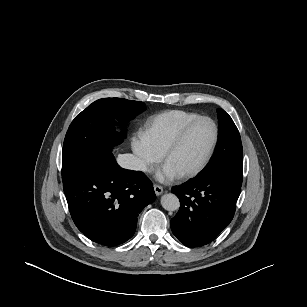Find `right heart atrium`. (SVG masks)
I'll list each match as a JSON object with an SVG mask.
<instances>
[{
	"mask_svg": "<svg viewBox=\"0 0 307 307\" xmlns=\"http://www.w3.org/2000/svg\"><path fill=\"white\" fill-rule=\"evenodd\" d=\"M132 150L136 156L137 167L143 173L154 169L162 160V154L157 152L143 134H137L132 139Z\"/></svg>",
	"mask_w": 307,
	"mask_h": 307,
	"instance_id": "right-heart-atrium-1",
	"label": "right heart atrium"
}]
</instances>
